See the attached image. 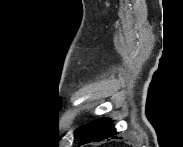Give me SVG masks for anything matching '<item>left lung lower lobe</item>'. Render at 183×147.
<instances>
[{
	"label": "left lung lower lobe",
	"instance_id": "obj_1",
	"mask_svg": "<svg viewBox=\"0 0 183 147\" xmlns=\"http://www.w3.org/2000/svg\"><path fill=\"white\" fill-rule=\"evenodd\" d=\"M117 132L109 118H101L89 123L83 129H80L75 137L79 136L82 143L101 141L116 135Z\"/></svg>",
	"mask_w": 183,
	"mask_h": 147
}]
</instances>
